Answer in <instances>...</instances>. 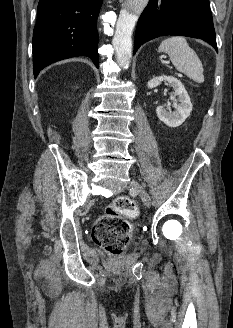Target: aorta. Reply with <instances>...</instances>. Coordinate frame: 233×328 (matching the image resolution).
I'll list each match as a JSON object with an SVG mask.
<instances>
[{
	"label": "aorta",
	"mask_w": 233,
	"mask_h": 328,
	"mask_svg": "<svg viewBox=\"0 0 233 328\" xmlns=\"http://www.w3.org/2000/svg\"><path fill=\"white\" fill-rule=\"evenodd\" d=\"M149 0H126L112 40L118 64L128 68L132 57V32L138 16Z\"/></svg>",
	"instance_id": "1"
}]
</instances>
